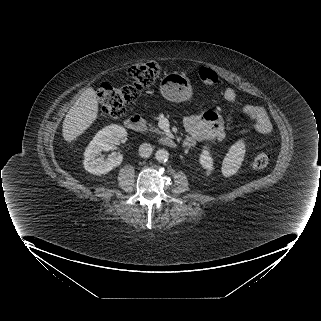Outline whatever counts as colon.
<instances>
[{
    "label": "colon",
    "mask_w": 321,
    "mask_h": 321,
    "mask_svg": "<svg viewBox=\"0 0 321 321\" xmlns=\"http://www.w3.org/2000/svg\"><path fill=\"white\" fill-rule=\"evenodd\" d=\"M161 69L155 62H146L132 66L128 71L130 84L115 87L110 84L101 86L97 91V99L102 113L108 117L120 118L124 115L125 106L133 102L138 94L150 88L159 77ZM198 78L206 85L214 86L218 83L217 73L207 67L197 68ZM270 161L267 152L257 155L253 166L257 169L265 168Z\"/></svg>",
    "instance_id": "obj_1"
}]
</instances>
